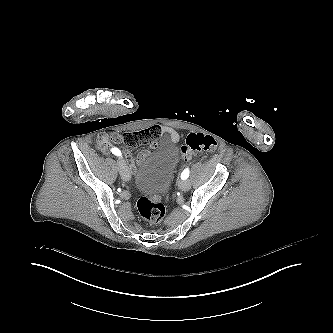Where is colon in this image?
Here are the masks:
<instances>
[{
    "instance_id": "1",
    "label": "colon",
    "mask_w": 333,
    "mask_h": 333,
    "mask_svg": "<svg viewBox=\"0 0 333 333\" xmlns=\"http://www.w3.org/2000/svg\"><path fill=\"white\" fill-rule=\"evenodd\" d=\"M163 137V131L159 127H150L137 132L124 133L121 140L124 145L131 149L152 147ZM102 140L105 138L102 137ZM199 144L202 149L211 147L210 139L204 137L202 140L197 138L190 145ZM136 208L142 220V225L148 231H157L163 225V217L166 207L162 203V195L158 189L143 187L140 197L136 201Z\"/></svg>"
}]
</instances>
